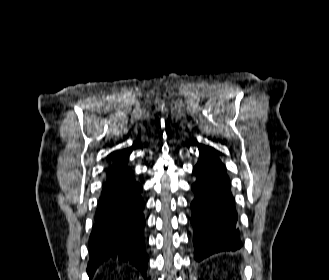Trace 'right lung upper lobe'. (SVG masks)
<instances>
[{
    "label": "right lung upper lobe",
    "mask_w": 329,
    "mask_h": 280,
    "mask_svg": "<svg viewBox=\"0 0 329 280\" xmlns=\"http://www.w3.org/2000/svg\"><path fill=\"white\" fill-rule=\"evenodd\" d=\"M110 156L113 162L127 161L129 157V153L126 152L125 150H122V151L113 152Z\"/></svg>",
    "instance_id": "1"
}]
</instances>
